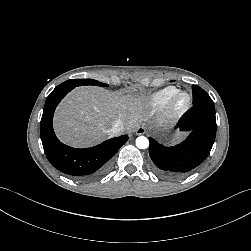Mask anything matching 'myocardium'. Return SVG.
Returning a JSON list of instances; mask_svg holds the SVG:
<instances>
[{"mask_svg": "<svg viewBox=\"0 0 251 251\" xmlns=\"http://www.w3.org/2000/svg\"><path fill=\"white\" fill-rule=\"evenodd\" d=\"M191 105V96L186 91H176L164 104L162 116L165 121H178Z\"/></svg>", "mask_w": 251, "mask_h": 251, "instance_id": "myocardium-1", "label": "myocardium"}]
</instances>
